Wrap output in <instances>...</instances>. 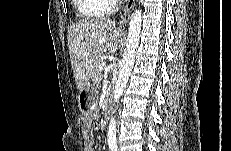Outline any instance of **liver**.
Here are the masks:
<instances>
[{
    "label": "liver",
    "mask_w": 231,
    "mask_h": 151,
    "mask_svg": "<svg viewBox=\"0 0 231 151\" xmlns=\"http://www.w3.org/2000/svg\"><path fill=\"white\" fill-rule=\"evenodd\" d=\"M120 37L115 21L106 18L81 20L68 29L71 66L79 91L87 84L100 57L116 52Z\"/></svg>",
    "instance_id": "liver-1"
}]
</instances>
